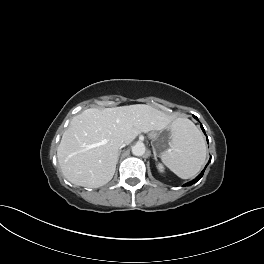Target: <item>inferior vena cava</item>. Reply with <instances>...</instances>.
I'll list each match as a JSON object with an SVG mask.
<instances>
[{
	"mask_svg": "<svg viewBox=\"0 0 264 264\" xmlns=\"http://www.w3.org/2000/svg\"><path fill=\"white\" fill-rule=\"evenodd\" d=\"M125 146H126V144H125L124 141H120V142H119V148H120V149L123 148V147H125Z\"/></svg>",
	"mask_w": 264,
	"mask_h": 264,
	"instance_id": "obj_1",
	"label": "inferior vena cava"
}]
</instances>
